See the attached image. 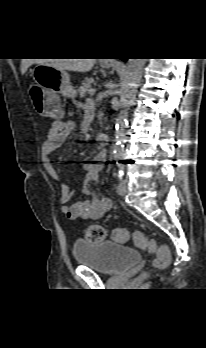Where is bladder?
Listing matches in <instances>:
<instances>
[{
	"label": "bladder",
	"mask_w": 206,
	"mask_h": 348,
	"mask_svg": "<svg viewBox=\"0 0 206 348\" xmlns=\"http://www.w3.org/2000/svg\"><path fill=\"white\" fill-rule=\"evenodd\" d=\"M73 254L78 265L107 275L119 274L141 260L136 249L113 241H76Z\"/></svg>",
	"instance_id": "obj_1"
}]
</instances>
